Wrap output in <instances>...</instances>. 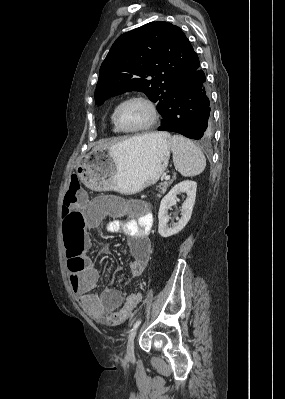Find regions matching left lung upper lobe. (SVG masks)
Masks as SVG:
<instances>
[{"instance_id": "5c2ea615", "label": "left lung upper lobe", "mask_w": 285, "mask_h": 399, "mask_svg": "<svg viewBox=\"0 0 285 399\" xmlns=\"http://www.w3.org/2000/svg\"><path fill=\"white\" fill-rule=\"evenodd\" d=\"M199 59L183 31L171 23L150 22L121 35L100 67L96 104L127 91H142L157 102L165 119L177 82ZM162 121V122H163Z\"/></svg>"}]
</instances>
